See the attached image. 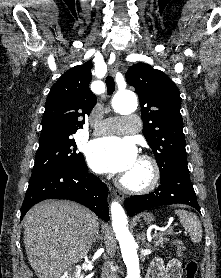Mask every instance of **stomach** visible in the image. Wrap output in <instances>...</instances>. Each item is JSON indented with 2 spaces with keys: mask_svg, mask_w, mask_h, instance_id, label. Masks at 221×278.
<instances>
[{
  "mask_svg": "<svg viewBox=\"0 0 221 278\" xmlns=\"http://www.w3.org/2000/svg\"><path fill=\"white\" fill-rule=\"evenodd\" d=\"M144 220H145L147 223H150V222L154 221V217H153L152 214H145Z\"/></svg>",
  "mask_w": 221,
  "mask_h": 278,
  "instance_id": "stomach-1",
  "label": "stomach"
}]
</instances>
